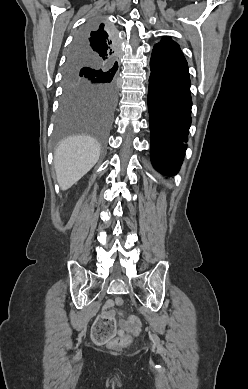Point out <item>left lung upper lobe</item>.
I'll use <instances>...</instances> for the list:
<instances>
[{
	"label": "left lung upper lobe",
	"instance_id": "1",
	"mask_svg": "<svg viewBox=\"0 0 248 389\" xmlns=\"http://www.w3.org/2000/svg\"><path fill=\"white\" fill-rule=\"evenodd\" d=\"M172 44H177V43L172 41V39L170 37L166 36L156 45H172Z\"/></svg>",
	"mask_w": 248,
	"mask_h": 389
}]
</instances>
